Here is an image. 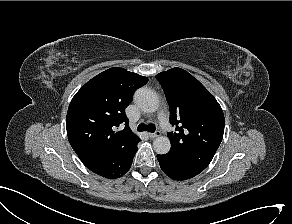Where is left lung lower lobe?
<instances>
[{
  "instance_id": "0a47b994",
  "label": "left lung lower lobe",
  "mask_w": 292,
  "mask_h": 224,
  "mask_svg": "<svg viewBox=\"0 0 292 224\" xmlns=\"http://www.w3.org/2000/svg\"><path fill=\"white\" fill-rule=\"evenodd\" d=\"M157 159L163 172L174 180L190 179L200 173L173 156L157 155Z\"/></svg>"
}]
</instances>
